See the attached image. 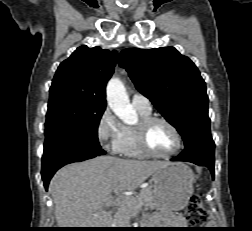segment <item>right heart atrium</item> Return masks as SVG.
Listing matches in <instances>:
<instances>
[{"instance_id":"right-heart-atrium-1","label":"right heart atrium","mask_w":252,"mask_h":231,"mask_svg":"<svg viewBox=\"0 0 252 231\" xmlns=\"http://www.w3.org/2000/svg\"><path fill=\"white\" fill-rule=\"evenodd\" d=\"M123 127V124L114 113L109 108H105L96 127L100 143L112 152H118L123 137Z\"/></svg>"}]
</instances>
